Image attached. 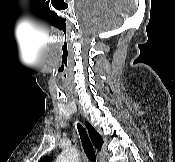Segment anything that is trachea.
Here are the masks:
<instances>
[{
  "label": "trachea",
  "instance_id": "obj_1",
  "mask_svg": "<svg viewBox=\"0 0 175 162\" xmlns=\"http://www.w3.org/2000/svg\"><path fill=\"white\" fill-rule=\"evenodd\" d=\"M77 128H78V132H79L82 146H83V149L85 151L86 156L88 157L90 162H97L95 149L93 147V144H92L86 130L79 123L77 124Z\"/></svg>",
  "mask_w": 175,
  "mask_h": 162
}]
</instances>
